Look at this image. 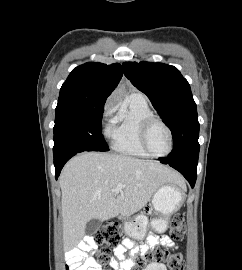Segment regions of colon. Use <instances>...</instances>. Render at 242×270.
Returning <instances> with one entry per match:
<instances>
[{"label":"colon","instance_id":"colon-1","mask_svg":"<svg viewBox=\"0 0 242 270\" xmlns=\"http://www.w3.org/2000/svg\"><path fill=\"white\" fill-rule=\"evenodd\" d=\"M170 237L177 242H181L185 238L184 229V215L182 213H176L170 221ZM92 240L95 245L102 248L101 254L98 256V263L105 269H108V253L110 249L119 244L121 240V231L117 224L107 223L100 228L93 236ZM149 261L163 262L167 265L169 270H185V264L181 254L171 252L169 249H156L148 255H144L139 258L138 266L135 268H142L147 265ZM66 270H71V267L67 264Z\"/></svg>","mask_w":242,"mask_h":270}]
</instances>
